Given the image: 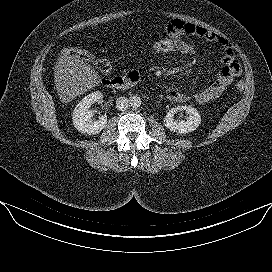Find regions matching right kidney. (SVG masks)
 I'll use <instances>...</instances> for the list:
<instances>
[{"label": "right kidney", "instance_id": "obj_1", "mask_svg": "<svg viewBox=\"0 0 272 272\" xmlns=\"http://www.w3.org/2000/svg\"><path fill=\"white\" fill-rule=\"evenodd\" d=\"M103 94L99 91L85 96L75 107L72 119L74 127L83 134L94 135L101 132L107 123V116L103 115L98 120L93 119L94 111L90 109L95 102H101Z\"/></svg>", "mask_w": 272, "mask_h": 272}]
</instances>
